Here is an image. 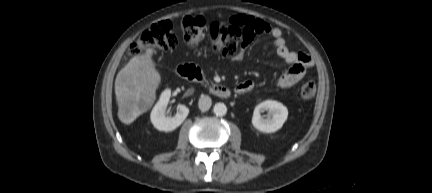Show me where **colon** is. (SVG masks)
Here are the masks:
<instances>
[{"label": "colon", "instance_id": "colon-1", "mask_svg": "<svg viewBox=\"0 0 432 193\" xmlns=\"http://www.w3.org/2000/svg\"><path fill=\"white\" fill-rule=\"evenodd\" d=\"M181 28L184 42L188 47H196L208 34L213 52L225 57L235 55L239 47L246 45L252 38L250 32L240 25L220 22L207 24L201 16L185 17L181 21ZM178 44L179 39L172 30V24L162 21L144 30L138 40L130 46L128 55H139L147 48L170 51ZM315 94L314 81H307L300 88V96L304 100L313 98Z\"/></svg>", "mask_w": 432, "mask_h": 193}]
</instances>
